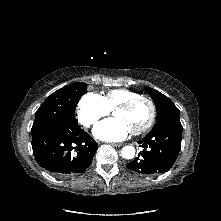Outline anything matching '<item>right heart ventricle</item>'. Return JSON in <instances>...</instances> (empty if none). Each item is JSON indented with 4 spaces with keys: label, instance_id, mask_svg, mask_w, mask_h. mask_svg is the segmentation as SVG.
Instances as JSON below:
<instances>
[{
    "label": "right heart ventricle",
    "instance_id": "e07e8e85",
    "mask_svg": "<svg viewBox=\"0 0 221 221\" xmlns=\"http://www.w3.org/2000/svg\"><path fill=\"white\" fill-rule=\"evenodd\" d=\"M139 96L141 95L135 91L126 88H118L106 92L102 98L111 111L114 110L119 104Z\"/></svg>",
    "mask_w": 221,
    "mask_h": 221
}]
</instances>
